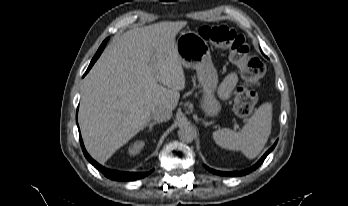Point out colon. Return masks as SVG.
<instances>
[{
    "label": "colon",
    "mask_w": 348,
    "mask_h": 206,
    "mask_svg": "<svg viewBox=\"0 0 348 206\" xmlns=\"http://www.w3.org/2000/svg\"><path fill=\"white\" fill-rule=\"evenodd\" d=\"M203 40L228 51L230 59L239 67L244 85L237 87L233 95V107L240 117L253 112L257 96L253 87L258 85L265 72L263 61L251 53L246 38L226 26H203L199 29Z\"/></svg>",
    "instance_id": "1"
}]
</instances>
